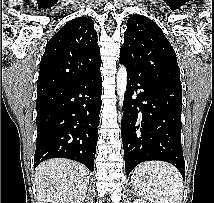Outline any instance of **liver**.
Segmentation results:
<instances>
[{"mask_svg":"<svg viewBox=\"0 0 214 203\" xmlns=\"http://www.w3.org/2000/svg\"><path fill=\"white\" fill-rule=\"evenodd\" d=\"M35 184L38 203H81L89 177L82 164L55 158L38 165Z\"/></svg>","mask_w":214,"mask_h":203,"instance_id":"1","label":"liver"}]
</instances>
